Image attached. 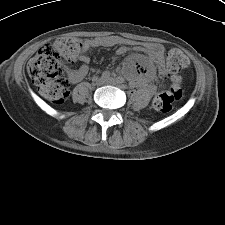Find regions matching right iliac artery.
<instances>
[{
    "label": "right iliac artery",
    "mask_w": 225,
    "mask_h": 225,
    "mask_svg": "<svg viewBox=\"0 0 225 225\" xmlns=\"http://www.w3.org/2000/svg\"><path fill=\"white\" fill-rule=\"evenodd\" d=\"M111 76V73L109 71H104L102 73V78L107 79Z\"/></svg>",
    "instance_id": "right-iliac-artery-1"
}]
</instances>
